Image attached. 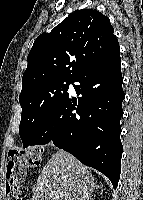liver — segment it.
<instances>
[{
  "label": "liver",
  "instance_id": "obj_1",
  "mask_svg": "<svg viewBox=\"0 0 143 200\" xmlns=\"http://www.w3.org/2000/svg\"><path fill=\"white\" fill-rule=\"evenodd\" d=\"M97 187L95 178L70 153L56 152L32 187V200H85ZM56 193V195H53Z\"/></svg>",
  "mask_w": 143,
  "mask_h": 200
}]
</instances>
